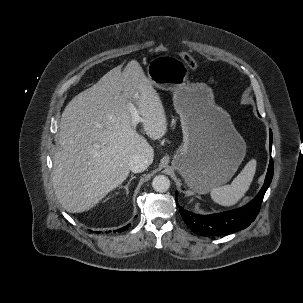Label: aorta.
<instances>
[{
	"label": "aorta",
	"instance_id": "obj_1",
	"mask_svg": "<svg viewBox=\"0 0 303 303\" xmlns=\"http://www.w3.org/2000/svg\"><path fill=\"white\" fill-rule=\"evenodd\" d=\"M152 187L156 192H166L170 188V181L164 175H158L153 178Z\"/></svg>",
	"mask_w": 303,
	"mask_h": 303
}]
</instances>
